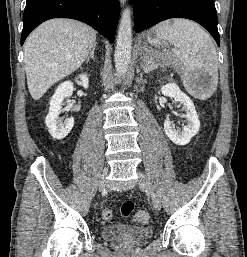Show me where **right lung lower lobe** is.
Segmentation results:
<instances>
[{
  "mask_svg": "<svg viewBox=\"0 0 247 257\" xmlns=\"http://www.w3.org/2000/svg\"><path fill=\"white\" fill-rule=\"evenodd\" d=\"M119 14V0H27L21 45L34 28L57 17L87 23L113 42Z\"/></svg>",
  "mask_w": 247,
  "mask_h": 257,
  "instance_id": "1",
  "label": "right lung lower lobe"
}]
</instances>
